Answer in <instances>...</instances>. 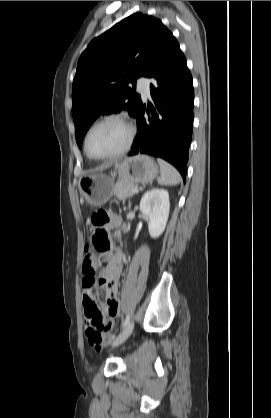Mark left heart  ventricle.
I'll list each match as a JSON object with an SVG mask.
<instances>
[{"instance_id": "b2bd125f", "label": "left heart ventricle", "mask_w": 271, "mask_h": 418, "mask_svg": "<svg viewBox=\"0 0 271 418\" xmlns=\"http://www.w3.org/2000/svg\"><path fill=\"white\" fill-rule=\"evenodd\" d=\"M128 130L117 121L99 125L89 137V151L94 156H105L120 150L126 143Z\"/></svg>"}]
</instances>
